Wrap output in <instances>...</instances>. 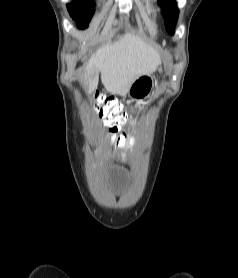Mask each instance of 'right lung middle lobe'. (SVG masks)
I'll list each match as a JSON object with an SVG mask.
<instances>
[{
	"label": "right lung middle lobe",
	"mask_w": 238,
	"mask_h": 278,
	"mask_svg": "<svg viewBox=\"0 0 238 278\" xmlns=\"http://www.w3.org/2000/svg\"><path fill=\"white\" fill-rule=\"evenodd\" d=\"M88 0H77L76 3L67 5L68 11L72 18L78 22L81 29H85L94 13V5L86 3Z\"/></svg>",
	"instance_id": "right-lung-middle-lobe-1"
}]
</instances>
